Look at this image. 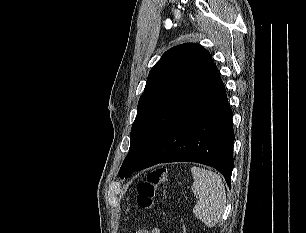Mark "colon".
<instances>
[{"label":"colon","mask_w":306,"mask_h":233,"mask_svg":"<svg viewBox=\"0 0 306 233\" xmlns=\"http://www.w3.org/2000/svg\"><path fill=\"white\" fill-rule=\"evenodd\" d=\"M167 169L155 168L150 171L145 179L138 185L136 201L143 209H153L157 189L166 181Z\"/></svg>","instance_id":"colon-1"}]
</instances>
